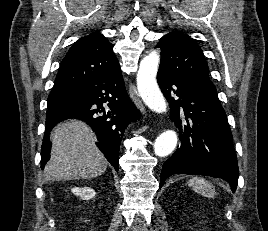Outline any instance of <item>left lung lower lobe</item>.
<instances>
[{"mask_svg":"<svg viewBox=\"0 0 268 231\" xmlns=\"http://www.w3.org/2000/svg\"><path fill=\"white\" fill-rule=\"evenodd\" d=\"M157 81L169 102L170 118L179 128L181 140L180 148L163 164L159 187L168 176L176 173L199 174L222 178L235 192L238 164L231 130L220 102L198 85L168 70L159 68Z\"/></svg>","mask_w":268,"mask_h":231,"instance_id":"obj_1","label":"left lung lower lobe"}]
</instances>
